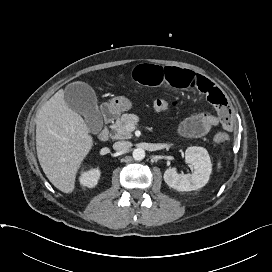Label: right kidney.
Returning <instances> with one entry per match:
<instances>
[{
	"instance_id": "obj_1",
	"label": "right kidney",
	"mask_w": 272,
	"mask_h": 272,
	"mask_svg": "<svg viewBox=\"0 0 272 272\" xmlns=\"http://www.w3.org/2000/svg\"><path fill=\"white\" fill-rule=\"evenodd\" d=\"M99 177V169H91L89 171L83 172L79 178V181L82 186L93 188L97 185Z\"/></svg>"
}]
</instances>
